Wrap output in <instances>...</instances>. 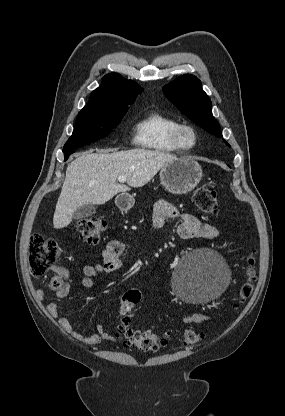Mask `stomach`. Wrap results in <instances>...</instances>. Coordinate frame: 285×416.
<instances>
[{
	"label": "stomach",
	"mask_w": 285,
	"mask_h": 416,
	"mask_svg": "<svg viewBox=\"0 0 285 416\" xmlns=\"http://www.w3.org/2000/svg\"><path fill=\"white\" fill-rule=\"evenodd\" d=\"M161 184L171 194H187L198 186L203 174L198 162L191 158H177L161 168Z\"/></svg>",
	"instance_id": "1"
}]
</instances>
